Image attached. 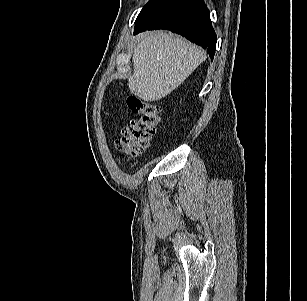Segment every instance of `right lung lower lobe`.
<instances>
[{
  "label": "right lung lower lobe",
  "mask_w": 307,
  "mask_h": 301,
  "mask_svg": "<svg viewBox=\"0 0 307 301\" xmlns=\"http://www.w3.org/2000/svg\"><path fill=\"white\" fill-rule=\"evenodd\" d=\"M157 29H166L185 36L193 43L206 48L213 60L217 36L203 0H168L135 22L134 34Z\"/></svg>",
  "instance_id": "obj_1"
}]
</instances>
